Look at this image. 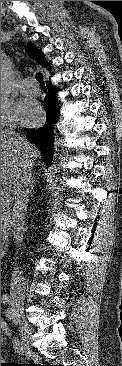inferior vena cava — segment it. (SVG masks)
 Returning a JSON list of instances; mask_svg holds the SVG:
<instances>
[{"label": "inferior vena cava", "instance_id": "obj_1", "mask_svg": "<svg viewBox=\"0 0 122 366\" xmlns=\"http://www.w3.org/2000/svg\"><path fill=\"white\" fill-rule=\"evenodd\" d=\"M17 136L20 140V136L18 134ZM31 177L32 172L30 170V164L29 162H26L23 167L22 176L16 182L12 189V194L15 201L11 212V217L9 219V225L12 228L15 243L18 247L21 246V243L24 239L25 216L27 212V205L29 202V194L31 193ZM22 279L23 278L19 275V271L13 272L10 294L14 297H19L20 299H23L25 296V287Z\"/></svg>", "mask_w": 122, "mask_h": 366}]
</instances>
